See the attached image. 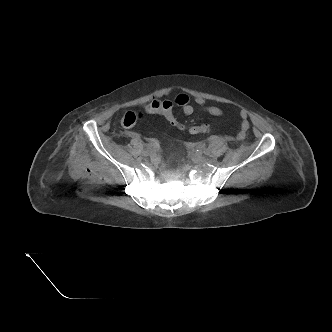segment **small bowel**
<instances>
[{
  "mask_svg": "<svg viewBox=\"0 0 332 332\" xmlns=\"http://www.w3.org/2000/svg\"><path fill=\"white\" fill-rule=\"evenodd\" d=\"M168 101H170L173 106L180 107L182 109V112L186 116H190L193 114V112H194L193 103L198 108H200L201 110H203L204 112H206L212 116H221L223 114L222 109H220L217 106L207 105L205 99L202 97H196L192 102V100L190 99V97L188 95L179 94L174 98L173 101H171V100H168ZM240 118H241V123H240L239 130L237 132V135H236L237 140H242L245 138L247 131L249 129V126H250L249 121H248V114L246 111L240 112ZM185 144L188 147L192 146V143H190V142H186Z\"/></svg>",
  "mask_w": 332,
  "mask_h": 332,
  "instance_id": "c3829d8e",
  "label": "small bowel"
}]
</instances>
